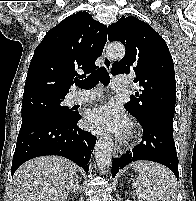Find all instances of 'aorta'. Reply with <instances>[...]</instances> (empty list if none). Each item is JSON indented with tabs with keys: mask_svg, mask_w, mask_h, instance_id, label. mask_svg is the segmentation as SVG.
Segmentation results:
<instances>
[{
	"mask_svg": "<svg viewBox=\"0 0 196 201\" xmlns=\"http://www.w3.org/2000/svg\"><path fill=\"white\" fill-rule=\"evenodd\" d=\"M106 53L113 59H121L125 55V48L122 44H110L106 49ZM112 149L113 141L110 137H105L96 144L95 159L101 172H104L111 165Z\"/></svg>",
	"mask_w": 196,
	"mask_h": 201,
	"instance_id": "obj_1",
	"label": "aorta"
}]
</instances>
